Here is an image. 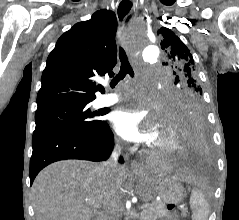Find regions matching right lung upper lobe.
I'll use <instances>...</instances> for the list:
<instances>
[{
	"instance_id": "cb5924a9",
	"label": "right lung upper lobe",
	"mask_w": 239,
	"mask_h": 220,
	"mask_svg": "<svg viewBox=\"0 0 239 220\" xmlns=\"http://www.w3.org/2000/svg\"><path fill=\"white\" fill-rule=\"evenodd\" d=\"M116 30L114 12L103 9L65 32L48 56L37 95L38 108L93 101L102 87L95 86L92 78L114 75Z\"/></svg>"
}]
</instances>
